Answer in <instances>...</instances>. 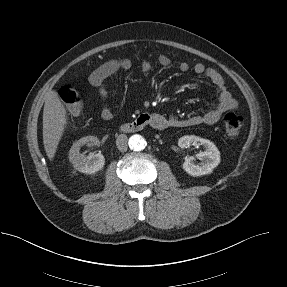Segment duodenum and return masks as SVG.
Segmentation results:
<instances>
[{
    "mask_svg": "<svg viewBox=\"0 0 287 287\" xmlns=\"http://www.w3.org/2000/svg\"><path fill=\"white\" fill-rule=\"evenodd\" d=\"M159 124L158 118L153 114H141L131 122L121 125V131L125 133L137 132L145 127L151 126L157 128Z\"/></svg>",
    "mask_w": 287,
    "mask_h": 287,
    "instance_id": "duodenum-1",
    "label": "duodenum"
}]
</instances>
